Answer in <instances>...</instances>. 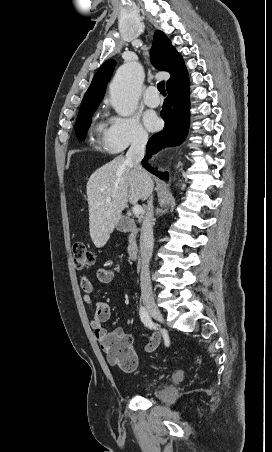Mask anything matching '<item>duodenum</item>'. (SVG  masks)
Masks as SVG:
<instances>
[{
	"label": "duodenum",
	"instance_id": "410a0bca",
	"mask_svg": "<svg viewBox=\"0 0 272 452\" xmlns=\"http://www.w3.org/2000/svg\"><path fill=\"white\" fill-rule=\"evenodd\" d=\"M119 229L123 232L131 233L127 245V255L131 260H135L139 254V245L137 242L138 228L136 223L130 218L123 216L120 221Z\"/></svg>",
	"mask_w": 272,
	"mask_h": 452
}]
</instances>
